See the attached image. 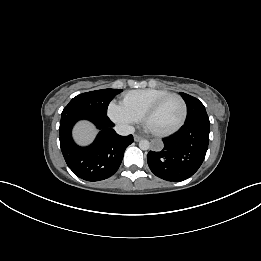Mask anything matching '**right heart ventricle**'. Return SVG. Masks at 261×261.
Wrapping results in <instances>:
<instances>
[{"label": "right heart ventricle", "mask_w": 261, "mask_h": 261, "mask_svg": "<svg viewBox=\"0 0 261 261\" xmlns=\"http://www.w3.org/2000/svg\"><path fill=\"white\" fill-rule=\"evenodd\" d=\"M169 93L167 90L156 88L133 90L123 95L121 104L137 119H141L152 103Z\"/></svg>", "instance_id": "e07e8e85"}]
</instances>
